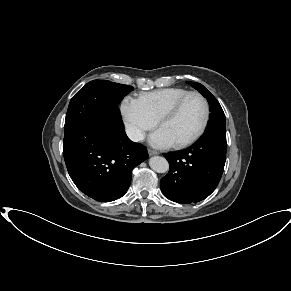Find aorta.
Returning <instances> with one entry per match:
<instances>
[{
  "mask_svg": "<svg viewBox=\"0 0 291 291\" xmlns=\"http://www.w3.org/2000/svg\"><path fill=\"white\" fill-rule=\"evenodd\" d=\"M149 166L157 173H165L169 170L168 161L161 156H154L150 158Z\"/></svg>",
  "mask_w": 291,
  "mask_h": 291,
  "instance_id": "1",
  "label": "aorta"
}]
</instances>
